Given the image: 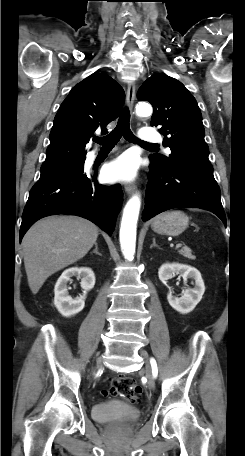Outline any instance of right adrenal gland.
<instances>
[{"label":"right adrenal gland","instance_id":"2a0ac1e0","mask_svg":"<svg viewBox=\"0 0 245 456\" xmlns=\"http://www.w3.org/2000/svg\"><path fill=\"white\" fill-rule=\"evenodd\" d=\"M91 253H96L97 255L101 256V253L98 252V244L95 243V249Z\"/></svg>","mask_w":245,"mask_h":456}]
</instances>
